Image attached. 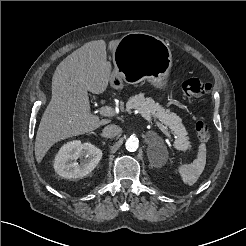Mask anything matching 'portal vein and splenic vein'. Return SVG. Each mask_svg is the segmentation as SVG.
Listing matches in <instances>:
<instances>
[{
	"instance_id": "1",
	"label": "portal vein and splenic vein",
	"mask_w": 246,
	"mask_h": 246,
	"mask_svg": "<svg viewBox=\"0 0 246 246\" xmlns=\"http://www.w3.org/2000/svg\"><path fill=\"white\" fill-rule=\"evenodd\" d=\"M100 114L106 117H112L115 116V111L112 107L109 106H103L100 109ZM156 125L159 127V129L167 136L170 135V133L168 132L167 128L160 122L156 121Z\"/></svg>"
}]
</instances>
